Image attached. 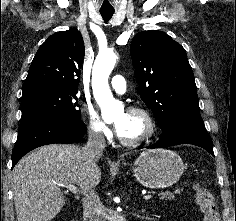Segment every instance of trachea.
Returning a JSON list of instances; mask_svg holds the SVG:
<instances>
[{
	"mask_svg": "<svg viewBox=\"0 0 236 221\" xmlns=\"http://www.w3.org/2000/svg\"><path fill=\"white\" fill-rule=\"evenodd\" d=\"M101 16L103 17V19L107 22L109 19L112 18L114 12L113 11H108V12H100Z\"/></svg>",
	"mask_w": 236,
	"mask_h": 221,
	"instance_id": "obj_1",
	"label": "trachea"
}]
</instances>
